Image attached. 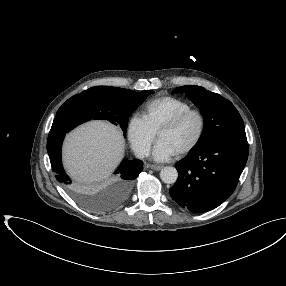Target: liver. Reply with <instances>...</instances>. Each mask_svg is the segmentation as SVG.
<instances>
[{"label": "liver", "mask_w": 286, "mask_h": 286, "mask_svg": "<svg viewBox=\"0 0 286 286\" xmlns=\"http://www.w3.org/2000/svg\"><path fill=\"white\" fill-rule=\"evenodd\" d=\"M124 151L123 135L116 126L104 121H92L67 135L63 145V162L73 179L99 181L113 172Z\"/></svg>", "instance_id": "6515ba94"}]
</instances>
